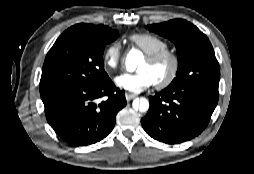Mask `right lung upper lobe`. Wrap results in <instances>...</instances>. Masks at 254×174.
<instances>
[{"mask_svg":"<svg viewBox=\"0 0 254 174\" xmlns=\"http://www.w3.org/2000/svg\"><path fill=\"white\" fill-rule=\"evenodd\" d=\"M73 27L86 29L91 32H103L109 28L108 26H104V25H90V24H84V23L74 25Z\"/></svg>","mask_w":254,"mask_h":174,"instance_id":"right-lung-upper-lobe-1","label":"right lung upper lobe"}]
</instances>
